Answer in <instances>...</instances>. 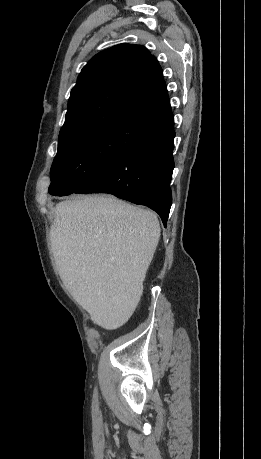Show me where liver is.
Here are the masks:
<instances>
[{
  "instance_id": "liver-1",
  "label": "liver",
  "mask_w": 261,
  "mask_h": 459,
  "mask_svg": "<svg viewBox=\"0 0 261 459\" xmlns=\"http://www.w3.org/2000/svg\"><path fill=\"white\" fill-rule=\"evenodd\" d=\"M50 238L73 298L94 324L119 327L140 297L159 242L156 214L111 196H78L56 205Z\"/></svg>"
}]
</instances>
